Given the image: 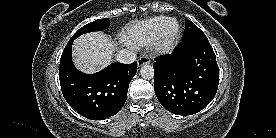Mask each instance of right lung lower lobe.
<instances>
[{
    "mask_svg": "<svg viewBox=\"0 0 276 138\" xmlns=\"http://www.w3.org/2000/svg\"><path fill=\"white\" fill-rule=\"evenodd\" d=\"M73 40H69L60 60L59 80L67 103L82 116L101 120L114 116L127 99L137 63H112L95 74L78 71L71 58Z\"/></svg>",
    "mask_w": 276,
    "mask_h": 138,
    "instance_id": "98d812e1",
    "label": "right lung lower lobe"
}]
</instances>
